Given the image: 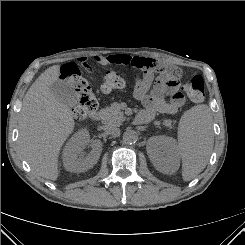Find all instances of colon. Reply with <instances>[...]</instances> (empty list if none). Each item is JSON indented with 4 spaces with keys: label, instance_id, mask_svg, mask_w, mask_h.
<instances>
[{
    "label": "colon",
    "instance_id": "5ec220e1",
    "mask_svg": "<svg viewBox=\"0 0 245 245\" xmlns=\"http://www.w3.org/2000/svg\"><path fill=\"white\" fill-rule=\"evenodd\" d=\"M155 72L162 74L170 80L178 81L181 70L174 65L155 63ZM61 79L72 86L77 95V101L73 108V114L77 119H83L96 111L98 102L91 91L87 79L82 75L77 63H68L61 70ZM124 86L123 78L115 71H107L102 80L101 88L104 92H111ZM183 90L193 102H201L204 99V81L200 76L189 78L183 85Z\"/></svg>",
    "mask_w": 245,
    "mask_h": 245
}]
</instances>
